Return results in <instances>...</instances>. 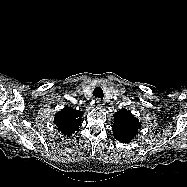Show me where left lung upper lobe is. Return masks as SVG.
<instances>
[{"instance_id": "obj_1", "label": "left lung upper lobe", "mask_w": 187, "mask_h": 187, "mask_svg": "<svg viewBox=\"0 0 187 187\" xmlns=\"http://www.w3.org/2000/svg\"><path fill=\"white\" fill-rule=\"evenodd\" d=\"M139 120L126 109H121L114 114L113 134L116 140L128 143L140 129Z\"/></svg>"}]
</instances>
